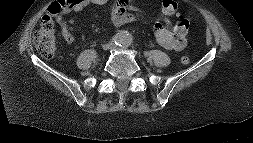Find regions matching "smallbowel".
I'll use <instances>...</instances> for the list:
<instances>
[{
  "label": "small bowel",
  "mask_w": 253,
  "mask_h": 143,
  "mask_svg": "<svg viewBox=\"0 0 253 143\" xmlns=\"http://www.w3.org/2000/svg\"><path fill=\"white\" fill-rule=\"evenodd\" d=\"M111 0H79L73 7H64L60 13L55 16L56 24L61 32L63 39L71 44L74 41L73 32L77 20V14L90 5H105ZM176 4L173 0L162 1L163 19L154 24L153 35L159 45L167 50L179 52L186 47L187 41L185 36H181L170 29V21L168 17L176 14L177 10H173L172 6ZM142 10L135 4L134 0H113L110 19L114 26L119 27L139 18L138 13ZM70 15L69 19L67 16ZM179 22V21H178ZM177 22V23H178ZM177 25V24H176Z\"/></svg>",
  "instance_id": "c3829d8e"
}]
</instances>
